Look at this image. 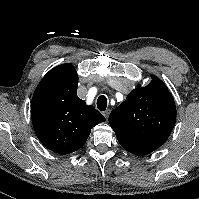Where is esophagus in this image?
Instances as JSON below:
<instances>
[{
  "instance_id": "esophagus-1",
  "label": "esophagus",
  "mask_w": 199,
  "mask_h": 199,
  "mask_svg": "<svg viewBox=\"0 0 199 199\" xmlns=\"http://www.w3.org/2000/svg\"><path fill=\"white\" fill-rule=\"evenodd\" d=\"M109 114H110V110L109 109H107V110H105L103 112V115L106 117V119H108Z\"/></svg>"
}]
</instances>
